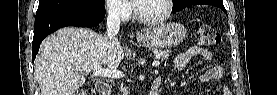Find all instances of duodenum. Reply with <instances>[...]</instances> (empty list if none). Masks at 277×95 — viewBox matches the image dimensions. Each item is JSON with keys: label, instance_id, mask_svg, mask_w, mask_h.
<instances>
[{"label": "duodenum", "instance_id": "1", "mask_svg": "<svg viewBox=\"0 0 277 95\" xmlns=\"http://www.w3.org/2000/svg\"><path fill=\"white\" fill-rule=\"evenodd\" d=\"M160 84H161V80L155 79L152 84H151V88H150V95H159V89H160ZM111 86L109 83L106 82H99L96 85V91L98 94H102V95H110L111 94Z\"/></svg>", "mask_w": 277, "mask_h": 95}]
</instances>
